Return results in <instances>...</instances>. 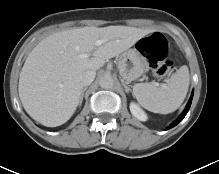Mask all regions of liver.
Wrapping results in <instances>:
<instances>
[{"label":"liver","instance_id":"1","mask_svg":"<svg viewBox=\"0 0 219 174\" xmlns=\"http://www.w3.org/2000/svg\"><path fill=\"white\" fill-rule=\"evenodd\" d=\"M151 30L128 26L83 27L56 32L29 53L19 78L26 112L47 127L67 122L83 90L81 75L98 70L105 60L128 50ZM102 40L100 46L96 41ZM92 54L82 58V54Z\"/></svg>","mask_w":219,"mask_h":174}]
</instances>
